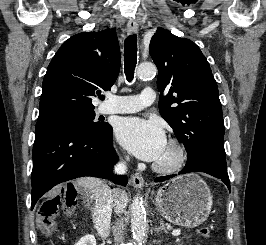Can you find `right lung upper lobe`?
Listing matches in <instances>:
<instances>
[{"mask_svg":"<svg viewBox=\"0 0 266 245\" xmlns=\"http://www.w3.org/2000/svg\"><path fill=\"white\" fill-rule=\"evenodd\" d=\"M120 70L115 29L83 32L69 38L50 62L42 84L38 121L94 109L92 96L110 90Z\"/></svg>","mask_w":266,"mask_h":245,"instance_id":"cb5924a9","label":"right lung upper lobe"}]
</instances>
